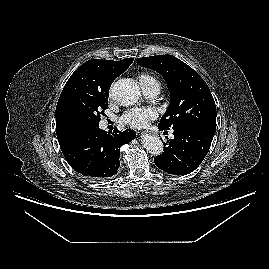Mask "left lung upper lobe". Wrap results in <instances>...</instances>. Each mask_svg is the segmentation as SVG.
Segmentation results:
<instances>
[{"label":"left lung upper lobe","mask_w":269,"mask_h":269,"mask_svg":"<svg viewBox=\"0 0 269 269\" xmlns=\"http://www.w3.org/2000/svg\"><path fill=\"white\" fill-rule=\"evenodd\" d=\"M143 66L159 72L167 81L171 101L161 117L160 130H182L196 126L216 128V106L209 87L199 74L172 55L137 59Z\"/></svg>","instance_id":"1"}]
</instances>
